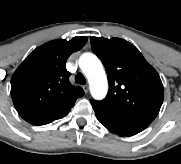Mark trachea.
<instances>
[{
    "label": "trachea",
    "mask_w": 181,
    "mask_h": 164,
    "mask_svg": "<svg viewBox=\"0 0 181 164\" xmlns=\"http://www.w3.org/2000/svg\"><path fill=\"white\" fill-rule=\"evenodd\" d=\"M75 81L79 84H86V79L81 72L76 74Z\"/></svg>",
    "instance_id": "3493384b"
}]
</instances>
